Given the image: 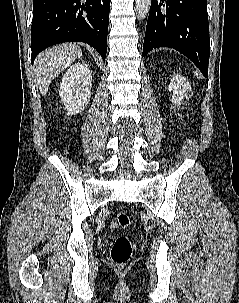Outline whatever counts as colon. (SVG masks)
Listing matches in <instances>:
<instances>
[{"label": "colon", "instance_id": "colon-1", "mask_svg": "<svg viewBox=\"0 0 239 303\" xmlns=\"http://www.w3.org/2000/svg\"><path fill=\"white\" fill-rule=\"evenodd\" d=\"M118 227L125 229L130 225V217L125 212H119L116 217ZM132 243L128 236H118L111 248L112 262L117 266H125L132 256Z\"/></svg>", "mask_w": 239, "mask_h": 303}]
</instances>
